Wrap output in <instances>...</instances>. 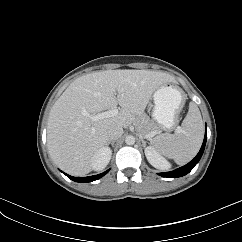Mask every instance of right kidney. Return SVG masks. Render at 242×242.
Listing matches in <instances>:
<instances>
[{
    "label": "right kidney",
    "instance_id": "ca27d5eb",
    "mask_svg": "<svg viewBox=\"0 0 242 242\" xmlns=\"http://www.w3.org/2000/svg\"><path fill=\"white\" fill-rule=\"evenodd\" d=\"M111 155L112 151L109 147L100 148L92 158V169L97 171L104 169L108 165Z\"/></svg>",
    "mask_w": 242,
    "mask_h": 242
}]
</instances>
